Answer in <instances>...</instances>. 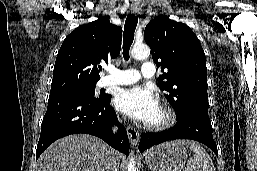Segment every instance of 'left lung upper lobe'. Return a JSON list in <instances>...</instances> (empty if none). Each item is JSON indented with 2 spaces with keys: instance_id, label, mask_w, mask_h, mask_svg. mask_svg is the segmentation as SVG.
Returning a JSON list of instances; mask_svg holds the SVG:
<instances>
[{
  "instance_id": "left-lung-upper-lobe-1",
  "label": "left lung upper lobe",
  "mask_w": 257,
  "mask_h": 171,
  "mask_svg": "<svg viewBox=\"0 0 257 171\" xmlns=\"http://www.w3.org/2000/svg\"><path fill=\"white\" fill-rule=\"evenodd\" d=\"M144 39L157 67L167 69L159 76L158 85L177 116L187 111L208 113L205 53L190 27L157 16L147 24Z\"/></svg>"
}]
</instances>
